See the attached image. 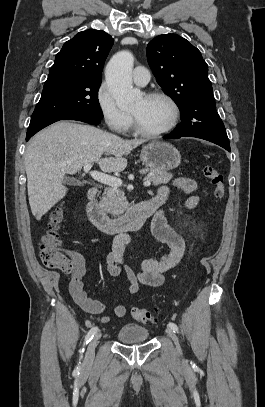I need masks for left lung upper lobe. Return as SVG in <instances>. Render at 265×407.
<instances>
[{"label": "left lung upper lobe", "mask_w": 265, "mask_h": 407, "mask_svg": "<svg viewBox=\"0 0 265 407\" xmlns=\"http://www.w3.org/2000/svg\"><path fill=\"white\" fill-rule=\"evenodd\" d=\"M147 58L158 84L181 111L172 134L229 145L200 51L178 35L165 34L149 42Z\"/></svg>", "instance_id": "left-lung-upper-lobe-1"}]
</instances>
